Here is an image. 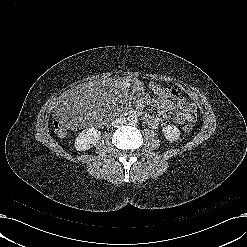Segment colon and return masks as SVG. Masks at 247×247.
Returning <instances> with one entry per match:
<instances>
[{
	"label": "colon",
	"mask_w": 247,
	"mask_h": 247,
	"mask_svg": "<svg viewBox=\"0 0 247 247\" xmlns=\"http://www.w3.org/2000/svg\"><path fill=\"white\" fill-rule=\"evenodd\" d=\"M147 93L149 97L152 99L158 101V102H163L167 99L168 97V92L165 88H163L160 85L153 84L149 86ZM70 116V114H65L61 116L59 119L55 120L53 123L54 130L55 132L60 135L64 136L67 134L68 128H67V119ZM193 129V122H189L188 124L185 125L184 130L186 132H190Z\"/></svg>",
	"instance_id": "colon-1"
}]
</instances>
